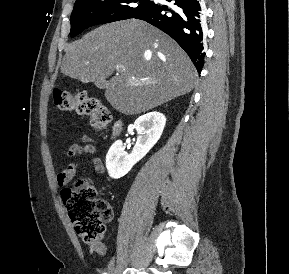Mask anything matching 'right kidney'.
<instances>
[{
    "label": "right kidney",
    "mask_w": 289,
    "mask_h": 274,
    "mask_svg": "<svg viewBox=\"0 0 289 274\" xmlns=\"http://www.w3.org/2000/svg\"><path fill=\"white\" fill-rule=\"evenodd\" d=\"M166 124V117L160 112H149L137 118L134 127L138 133L136 144L130 154L125 152L121 140H117L106 155V168L113 179L126 175L160 139Z\"/></svg>",
    "instance_id": "right-kidney-1"
}]
</instances>
